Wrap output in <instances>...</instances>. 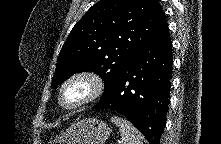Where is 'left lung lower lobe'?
I'll list each match as a JSON object with an SVG mask.
<instances>
[{
	"mask_svg": "<svg viewBox=\"0 0 221 144\" xmlns=\"http://www.w3.org/2000/svg\"><path fill=\"white\" fill-rule=\"evenodd\" d=\"M171 72L172 43L164 18L156 33L121 69L92 109L123 114L150 144H159L166 123Z\"/></svg>",
	"mask_w": 221,
	"mask_h": 144,
	"instance_id": "obj_1",
	"label": "left lung lower lobe"
}]
</instances>
